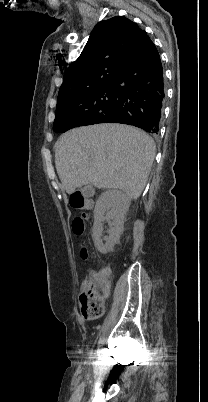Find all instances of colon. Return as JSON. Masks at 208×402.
Masks as SVG:
<instances>
[{"label": "colon", "instance_id": "5ec220e1", "mask_svg": "<svg viewBox=\"0 0 208 402\" xmlns=\"http://www.w3.org/2000/svg\"><path fill=\"white\" fill-rule=\"evenodd\" d=\"M75 237L81 238L85 234L86 220L82 215L75 216L71 222ZM79 256L84 259V263H89L86 258L88 250L86 247H79ZM110 277H105L104 273H96L95 267L89 268L87 277L84 278V285L80 293V313L81 314H105L104 296L109 295L110 290L105 286H110Z\"/></svg>", "mask_w": 208, "mask_h": 402}]
</instances>
